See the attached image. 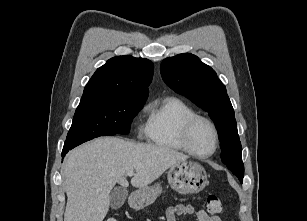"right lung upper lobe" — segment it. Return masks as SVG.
Wrapping results in <instances>:
<instances>
[{
	"label": "right lung upper lobe",
	"instance_id": "1",
	"mask_svg": "<svg viewBox=\"0 0 307 221\" xmlns=\"http://www.w3.org/2000/svg\"><path fill=\"white\" fill-rule=\"evenodd\" d=\"M154 65L130 55L109 59L87 83L81 101L105 96H135L147 99Z\"/></svg>",
	"mask_w": 307,
	"mask_h": 221
}]
</instances>
